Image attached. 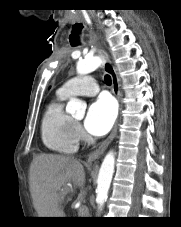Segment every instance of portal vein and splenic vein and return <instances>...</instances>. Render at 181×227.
<instances>
[{"mask_svg":"<svg viewBox=\"0 0 181 227\" xmlns=\"http://www.w3.org/2000/svg\"><path fill=\"white\" fill-rule=\"evenodd\" d=\"M80 209H81L82 212L87 211V207L86 206H81Z\"/></svg>","mask_w":181,"mask_h":227,"instance_id":"portal-vein-and-splenic-vein-1","label":"portal vein and splenic vein"}]
</instances>
